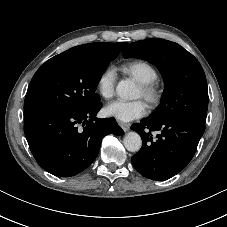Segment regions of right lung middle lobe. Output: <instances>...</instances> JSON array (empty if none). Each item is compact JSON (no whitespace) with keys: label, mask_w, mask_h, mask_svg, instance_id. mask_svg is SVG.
Listing matches in <instances>:
<instances>
[{"label":"right lung middle lobe","mask_w":227,"mask_h":227,"mask_svg":"<svg viewBox=\"0 0 227 227\" xmlns=\"http://www.w3.org/2000/svg\"><path fill=\"white\" fill-rule=\"evenodd\" d=\"M121 52L108 43L97 54L67 50L46 61L33 76L26 97L24 119L53 109L88 108L99 101L96 87L109 65Z\"/></svg>","instance_id":"1"}]
</instances>
